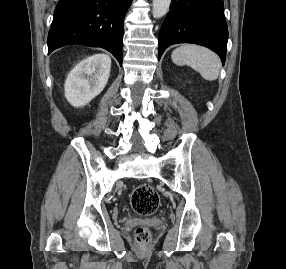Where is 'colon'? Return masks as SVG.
<instances>
[{"label": "colon", "mask_w": 286, "mask_h": 269, "mask_svg": "<svg viewBox=\"0 0 286 269\" xmlns=\"http://www.w3.org/2000/svg\"><path fill=\"white\" fill-rule=\"evenodd\" d=\"M130 203L137 214L147 216L153 214L158 209L160 198L150 185L141 184L133 190ZM135 238L139 245H145L149 241L150 233L148 229L139 227L136 229Z\"/></svg>", "instance_id": "5ec220e1"}]
</instances>
